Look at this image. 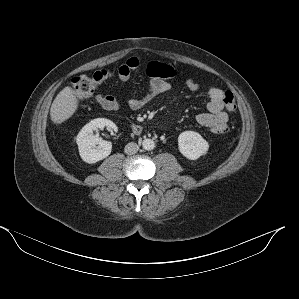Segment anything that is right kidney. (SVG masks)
<instances>
[{
    "label": "right kidney",
    "mask_w": 299,
    "mask_h": 299,
    "mask_svg": "<svg viewBox=\"0 0 299 299\" xmlns=\"http://www.w3.org/2000/svg\"><path fill=\"white\" fill-rule=\"evenodd\" d=\"M105 127L117 131V126L112 121L97 118L86 124L77 135L76 142L79 154L84 162L96 163L110 155L112 150L111 142L104 141L94 134L95 131Z\"/></svg>",
    "instance_id": "1"
}]
</instances>
